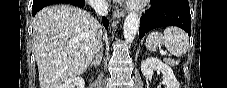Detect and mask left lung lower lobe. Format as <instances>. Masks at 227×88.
I'll list each match as a JSON object with an SVG mask.
<instances>
[{
  "label": "left lung lower lobe",
  "mask_w": 227,
  "mask_h": 88,
  "mask_svg": "<svg viewBox=\"0 0 227 88\" xmlns=\"http://www.w3.org/2000/svg\"><path fill=\"white\" fill-rule=\"evenodd\" d=\"M151 4L140 19V39L148 31L163 26H177L191 34L188 0H151Z\"/></svg>",
  "instance_id": "left-lung-lower-lobe-1"
}]
</instances>
